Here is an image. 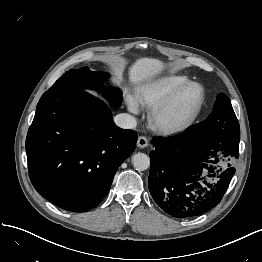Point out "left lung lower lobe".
Instances as JSON below:
<instances>
[{"mask_svg":"<svg viewBox=\"0 0 262 262\" xmlns=\"http://www.w3.org/2000/svg\"><path fill=\"white\" fill-rule=\"evenodd\" d=\"M240 131L200 135L188 131L151 143L148 188L156 204L177 218L214 208L224 196L239 157Z\"/></svg>","mask_w":262,"mask_h":262,"instance_id":"1","label":"left lung lower lobe"}]
</instances>
